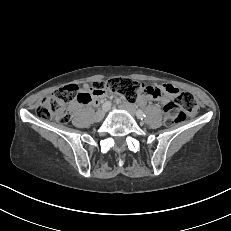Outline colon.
Here are the masks:
<instances>
[{
	"label": "colon",
	"mask_w": 231,
	"mask_h": 231,
	"mask_svg": "<svg viewBox=\"0 0 231 231\" xmlns=\"http://www.w3.org/2000/svg\"><path fill=\"white\" fill-rule=\"evenodd\" d=\"M146 85L128 78L114 77L104 82L95 83L92 87L93 94L111 91L121 94L126 100L138 99L146 89ZM89 95L79 90L74 84L59 88L52 95L44 98L36 109V115L42 120H53L58 123H67L71 118L70 104L73 101L84 102ZM198 106L193 95L187 92H177L175 100L169 101L164 106L165 122L168 125L176 124L188 116L197 113Z\"/></svg>",
	"instance_id": "obj_1"
}]
</instances>
